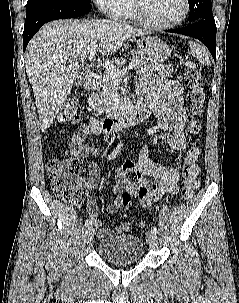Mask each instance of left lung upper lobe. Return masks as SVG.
I'll use <instances>...</instances> for the list:
<instances>
[{
    "mask_svg": "<svg viewBox=\"0 0 239 303\" xmlns=\"http://www.w3.org/2000/svg\"><path fill=\"white\" fill-rule=\"evenodd\" d=\"M190 13L189 23L213 18L211 0H188Z\"/></svg>",
    "mask_w": 239,
    "mask_h": 303,
    "instance_id": "left-lung-upper-lobe-1",
    "label": "left lung upper lobe"
}]
</instances>
